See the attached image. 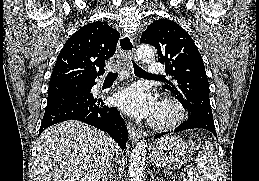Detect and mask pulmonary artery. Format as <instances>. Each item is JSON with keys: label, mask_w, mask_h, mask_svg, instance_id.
I'll list each match as a JSON object with an SVG mask.
<instances>
[{"label": "pulmonary artery", "mask_w": 259, "mask_h": 181, "mask_svg": "<svg viewBox=\"0 0 259 181\" xmlns=\"http://www.w3.org/2000/svg\"><path fill=\"white\" fill-rule=\"evenodd\" d=\"M164 72V67L160 64L151 63L148 67V73L152 75L161 74Z\"/></svg>", "instance_id": "e3ab8cb5"}]
</instances>
